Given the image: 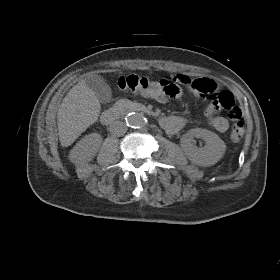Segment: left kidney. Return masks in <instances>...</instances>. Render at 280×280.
Instances as JSON below:
<instances>
[{"instance_id": "5707ae66", "label": "left kidney", "mask_w": 280, "mask_h": 280, "mask_svg": "<svg viewBox=\"0 0 280 280\" xmlns=\"http://www.w3.org/2000/svg\"><path fill=\"white\" fill-rule=\"evenodd\" d=\"M193 137H200L206 141L203 148H197ZM182 147L188 158L197 164H206L217 161L225 150V143L221 138L206 129L195 128L188 131L182 138Z\"/></svg>"}]
</instances>
